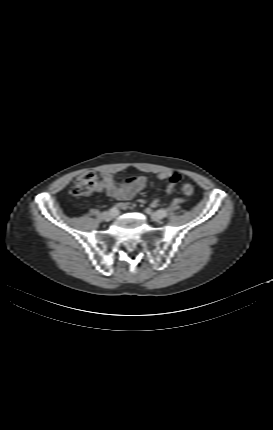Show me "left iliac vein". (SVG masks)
Wrapping results in <instances>:
<instances>
[{
	"label": "left iliac vein",
	"mask_w": 273,
	"mask_h": 430,
	"mask_svg": "<svg viewBox=\"0 0 273 430\" xmlns=\"http://www.w3.org/2000/svg\"><path fill=\"white\" fill-rule=\"evenodd\" d=\"M147 213L154 221H160L162 219L158 212H152L151 210H147Z\"/></svg>",
	"instance_id": "1"
}]
</instances>
